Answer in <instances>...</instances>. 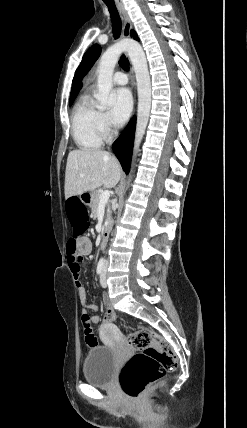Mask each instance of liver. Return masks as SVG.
<instances>
[{
  "instance_id": "1",
  "label": "liver",
  "mask_w": 247,
  "mask_h": 428,
  "mask_svg": "<svg viewBox=\"0 0 247 428\" xmlns=\"http://www.w3.org/2000/svg\"><path fill=\"white\" fill-rule=\"evenodd\" d=\"M115 156L104 150H73L67 157L65 198L93 191L101 186L113 188L121 178Z\"/></svg>"
}]
</instances>
